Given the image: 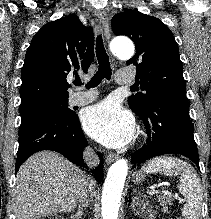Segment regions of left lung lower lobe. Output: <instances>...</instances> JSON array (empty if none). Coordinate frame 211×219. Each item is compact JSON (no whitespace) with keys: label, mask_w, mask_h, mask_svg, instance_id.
Segmentation results:
<instances>
[{"label":"left lung lower lobe","mask_w":211,"mask_h":219,"mask_svg":"<svg viewBox=\"0 0 211 219\" xmlns=\"http://www.w3.org/2000/svg\"><path fill=\"white\" fill-rule=\"evenodd\" d=\"M188 111L186 96L162 95L152 99L148 109L138 115L144 122L148 139L141 149L132 154L133 168L163 154L184 155L199 167Z\"/></svg>","instance_id":"1"}]
</instances>
